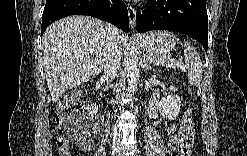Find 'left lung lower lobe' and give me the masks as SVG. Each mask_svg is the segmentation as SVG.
Returning a JSON list of instances; mask_svg holds the SVG:
<instances>
[{"instance_id":"left-lung-lower-lobe-1","label":"left lung lower lobe","mask_w":247,"mask_h":156,"mask_svg":"<svg viewBox=\"0 0 247 156\" xmlns=\"http://www.w3.org/2000/svg\"><path fill=\"white\" fill-rule=\"evenodd\" d=\"M205 0H148L136 13L137 31L170 30L184 33L208 48Z\"/></svg>"}]
</instances>
